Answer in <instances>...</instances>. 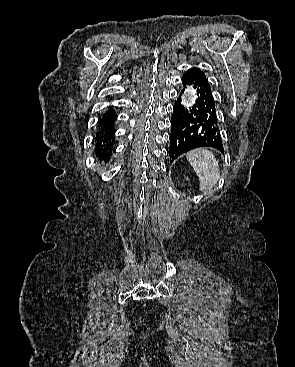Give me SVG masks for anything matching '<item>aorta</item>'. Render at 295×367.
Here are the masks:
<instances>
[{
    "label": "aorta",
    "instance_id": "762f6f07",
    "mask_svg": "<svg viewBox=\"0 0 295 367\" xmlns=\"http://www.w3.org/2000/svg\"><path fill=\"white\" fill-rule=\"evenodd\" d=\"M188 94H189V97H188L189 100L194 101V99L196 98L195 91L191 89Z\"/></svg>",
    "mask_w": 295,
    "mask_h": 367
}]
</instances>
